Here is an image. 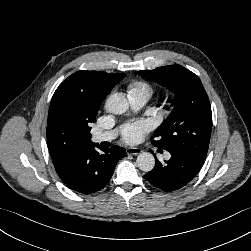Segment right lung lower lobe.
I'll use <instances>...</instances> for the list:
<instances>
[{
    "instance_id": "obj_1",
    "label": "right lung lower lobe",
    "mask_w": 251,
    "mask_h": 251,
    "mask_svg": "<svg viewBox=\"0 0 251 251\" xmlns=\"http://www.w3.org/2000/svg\"><path fill=\"white\" fill-rule=\"evenodd\" d=\"M92 144L82 149L68 165L58 172V176L70 189L91 194L103 189L110 181L119 159L126 156L125 149L120 146L101 149L99 153Z\"/></svg>"
}]
</instances>
